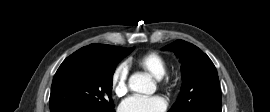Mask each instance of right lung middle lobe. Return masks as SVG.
<instances>
[{"label":"right lung middle lobe","instance_id":"dd1d6c3e","mask_svg":"<svg viewBox=\"0 0 270 112\" xmlns=\"http://www.w3.org/2000/svg\"><path fill=\"white\" fill-rule=\"evenodd\" d=\"M133 49L103 45L96 50L76 51L67 57L52 82L50 111L81 108L113 112V73Z\"/></svg>","mask_w":270,"mask_h":112}]
</instances>
